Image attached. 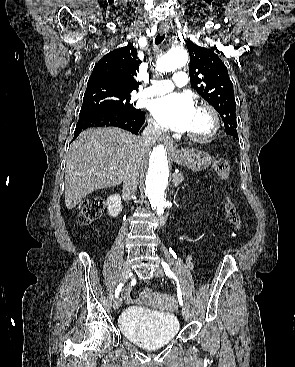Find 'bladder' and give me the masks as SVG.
Instances as JSON below:
<instances>
[{
    "label": "bladder",
    "mask_w": 295,
    "mask_h": 367,
    "mask_svg": "<svg viewBox=\"0 0 295 367\" xmlns=\"http://www.w3.org/2000/svg\"><path fill=\"white\" fill-rule=\"evenodd\" d=\"M120 328L123 334L136 344L158 348L170 343L179 332V323L172 314L151 317L146 309L129 307L122 314Z\"/></svg>",
    "instance_id": "31cf9c89"
}]
</instances>
